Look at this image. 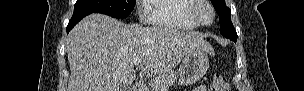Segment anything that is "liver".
<instances>
[{
  "mask_svg": "<svg viewBox=\"0 0 304 91\" xmlns=\"http://www.w3.org/2000/svg\"><path fill=\"white\" fill-rule=\"evenodd\" d=\"M194 49L213 52L197 32L127 25L91 14L68 35V91H125L136 78L135 58H141L143 74L157 77L170 73Z\"/></svg>",
  "mask_w": 304,
  "mask_h": 91,
  "instance_id": "liver-1",
  "label": "liver"
}]
</instances>
